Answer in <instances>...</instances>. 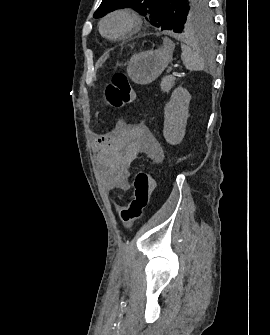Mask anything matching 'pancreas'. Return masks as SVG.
Returning a JSON list of instances; mask_svg holds the SVG:
<instances>
[{
	"label": "pancreas",
	"mask_w": 270,
	"mask_h": 335,
	"mask_svg": "<svg viewBox=\"0 0 270 335\" xmlns=\"http://www.w3.org/2000/svg\"><path fill=\"white\" fill-rule=\"evenodd\" d=\"M172 86H175V78L174 76H165L161 82V90L162 92H169Z\"/></svg>",
	"instance_id": "cf45deb5"
}]
</instances>
